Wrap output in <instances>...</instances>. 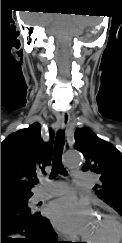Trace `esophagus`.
<instances>
[{"label": "esophagus", "instance_id": "34e87169", "mask_svg": "<svg viewBox=\"0 0 122 243\" xmlns=\"http://www.w3.org/2000/svg\"><path fill=\"white\" fill-rule=\"evenodd\" d=\"M70 122V114L68 112H63L61 116V128L65 129Z\"/></svg>", "mask_w": 122, "mask_h": 243}]
</instances>
